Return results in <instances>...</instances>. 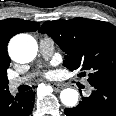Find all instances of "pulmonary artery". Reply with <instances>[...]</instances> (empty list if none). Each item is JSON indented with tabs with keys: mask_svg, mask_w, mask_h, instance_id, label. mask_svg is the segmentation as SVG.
<instances>
[{
	"mask_svg": "<svg viewBox=\"0 0 116 116\" xmlns=\"http://www.w3.org/2000/svg\"><path fill=\"white\" fill-rule=\"evenodd\" d=\"M39 48L42 56L46 59L50 58L54 52V42L49 37H43L39 40ZM31 75H26L9 81V89L15 91L19 86L25 84Z\"/></svg>",
	"mask_w": 116,
	"mask_h": 116,
	"instance_id": "pulmonary-artery-1",
	"label": "pulmonary artery"
}]
</instances>
